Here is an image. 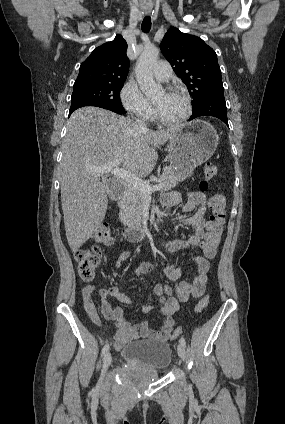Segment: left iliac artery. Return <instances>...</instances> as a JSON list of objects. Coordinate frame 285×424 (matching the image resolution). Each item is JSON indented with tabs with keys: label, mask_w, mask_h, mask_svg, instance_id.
<instances>
[{
	"label": "left iliac artery",
	"mask_w": 285,
	"mask_h": 424,
	"mask_svg": "<svg viewBox=\"0 0 285 424\" xmlns=\"http://www.w3.org/2000/svg\"><path fill=\"white\" fill-rule=\"evenodd\" d=\"M179 342H180L182 345L186 346V341H185V339H184L183 337H181V338H180Z\"/></svg>",
	"instance_id": "1"
}]
</instances>
